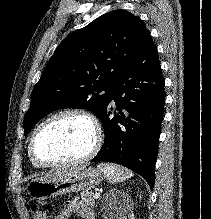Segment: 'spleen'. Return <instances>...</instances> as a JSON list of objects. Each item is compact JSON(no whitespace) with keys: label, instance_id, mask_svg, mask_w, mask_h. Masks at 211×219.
I'll list each match as a JSON object with an SVG mask.
<instances>
[{"label":"spleen","instance_id":"1","mask_svg":"<svg viewBox=\"0 0 211 219\" xmlns=\"http://www.w3.org/2000/svg\"><path fill=\"white\" fill-rule=\"evenodd\" d=\"M98 168L111 183L123 182L133 176L132 172L115 164L102 163L98 165Z\"/></svg>","mask_w":211,"mask_h":219}]
</instances>
